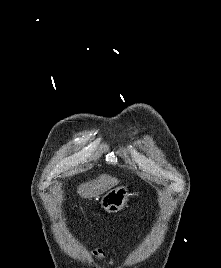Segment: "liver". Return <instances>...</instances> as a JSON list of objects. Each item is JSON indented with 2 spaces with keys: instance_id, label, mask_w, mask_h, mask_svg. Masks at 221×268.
<instances>
[{
  "instance_id": "1",
  "label": "liver",
  "mask_w": 221,
  "mask_h": 268,
  "mask_svg": "<svg viewBox=\"0 0 221 268\" xmlns=\"http://www.w3.org/2000/svg\"><path fill=\"white\" fill-rule=\"evenodd\" d=\"M119 183V180L110 175H100L95 180L81 184L77 192L80 197L85 199H90L93 197H98L99 195L105 193L106 191L112 189Z\"/></svg>"
}]
</instances>
